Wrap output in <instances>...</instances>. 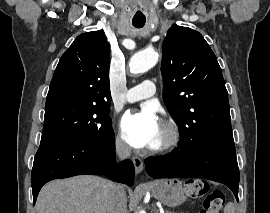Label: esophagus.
Listing matches in <instances>:
<instances>
[{
    "mask_svg": "<svg viewBox=\"0 0 270 213\" xmlns=\"http://www.w3.org/2000/svg\"><path fill=\"white\" fill-rule=\"evenodd\" d=\"M132 162L134 164L135 172L136 174H140L143 170V161L140 157L138 156H133L132 157Z\"/></svg>",
    "mask_w": 270,
    "mask_h": 213,
    "instance_id": "1",
    "label": "esophagus"
}]
</instances>
